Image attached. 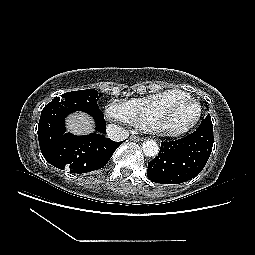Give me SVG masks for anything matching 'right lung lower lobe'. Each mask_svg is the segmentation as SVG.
<instances>
[{"instance_id": "1", "label": "right lung lower lobe", "mask_w": 255, "mask_h": 255, "mask_svg": "<svg viewBox=\"0 0 255 255\" xmlns=\"http://www.w3.org/2000/svg\"><path fill=\"white\" fill-rule=\"evenodd\" d=\"M95 120L98 133L86 136L65 133L64 127L48 148L41 149L45 159L61 170L66 169L77 174L103 168L123 142H114L103 136L106 131L104 116ZM38 138L40 141L41 133L39 131Z\"/></svg>"}]
</instances>
